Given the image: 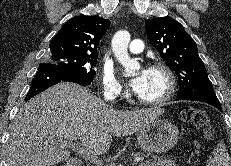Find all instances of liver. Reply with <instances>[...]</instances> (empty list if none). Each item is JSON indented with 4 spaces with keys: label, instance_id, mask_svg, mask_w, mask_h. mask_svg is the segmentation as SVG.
Returning a JSON list of instances; mask_svg holds the SVG:
<instances>
[{
    "label": "liver",
    "instance_id": "1",
    "mask_svg": "<svg viewBox=\"0 0 231 166\" xmlns=\"http://www.w3.org/2000/svg\"><path fill=\"white\" fill-rule=\"evenodd\" d=\"M164 113L160 107L118 111L87 89L61 82L35 96L10 125L7 166H54L70 157L66 141L105 154L112 135H132Z\"/></svg>",
    "mask_w": 231,
    "mask_h": 166
}]
</instances>
